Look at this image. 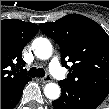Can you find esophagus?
Segmentation results:
<instances>
[{
  "instance_id": "1",
  "label": "esophagus",
  "mask_w": 109,
  "mask_h": 109,
  "mask_svg": "<svg viewBox=\"0 0 109 109\" xmlns=\"http://www.w3.org/2000/svg\"><path fill=\"white\" fill-rule=\"evenodd\" d=\"M41 81H42L43 83L51 82V81H52V77H51L50 74H47L45 77H43V78L41 79Z\"/></svg>"
}]
</instances>
